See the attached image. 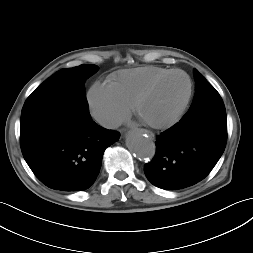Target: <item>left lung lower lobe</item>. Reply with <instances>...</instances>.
<instances>
[{
	"label": "left lung lower lobe",
	"mask_w": 253,
	"mask_h": 253,
	"mask_svg": "<svg viewBox=\"0 0 253 253\" xmlns=\"http://www.w3.org/2000/svg\"><path fill=\"white\" fill-rule=\"evenodd\" d=\"M226 113L181 119L156 139V155L145 165L147 179L155 186L177 190L203 180L224 152Z\"/></svg>",
	"instance_id": "0a47b994"
}]
</instances>
